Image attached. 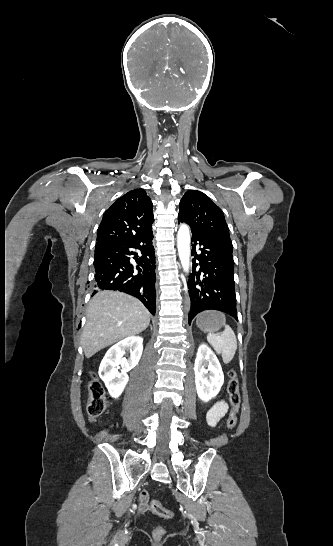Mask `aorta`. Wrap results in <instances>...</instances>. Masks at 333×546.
I'll list each match as a JSON object with an SVG mask.
<instances>
[{
    "mask_svg": "<svg viewBox=\"0 0 333 546\" xmlns=\"http://www.w3.org/2000/svg\"><path fill=\"white\" fill-rule=\"evenodd\" d=\"M178 254L183 269L189 271L190 263V231L186 224H181L177 233Z\"/></svg>",
    "mask_w": 333,
    "mask_h": 546,
    "instance_id": "1",
    "label": "aorta"
}]
</instances>
